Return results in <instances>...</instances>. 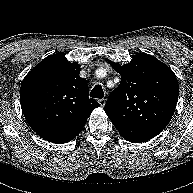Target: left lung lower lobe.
<instances>
[{"label":"left lung lower lobe","instance_id":"1","mask_svg":"<svg viewBox=\"0 0 193 193\" xmlns=\"http://www.w3.org/2000/svg\"><path fill=\"white\" fill-rule=\"evenodd\" d=\"M127 141L133 142V143H142L145 141L150 140L149 138H128Z\"/></svg>","mask_w":193,"mask_h":193}]
</instances>
